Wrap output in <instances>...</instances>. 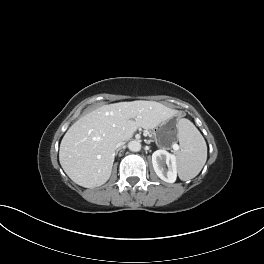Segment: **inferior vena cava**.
Masks as SVG:
<instances>
[{
  "label": "inferior vena cava",
  "mask_w": 264,
  "mask_h": 264,
  "mask_svg": "<svg viewBox=\"0 0 264 264\" xmlns=\"http://www.w3.org/2000/svg\"><path fill=\"white\" fill-rule=\"evenodd\" d=\"M123 145V141H118L117 143H116V145H115V148L117 149V148H119L120 146H122Z\"/></svg>",
  "instance_id": "obj_1"
}]
</instances>
